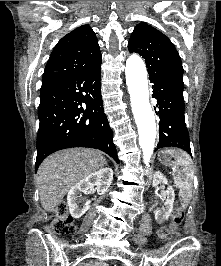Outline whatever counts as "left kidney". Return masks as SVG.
Here are the masks:
<instances>
[{"label":"left kidney","mask_w":221,"mask_h":266,"mask_svg":"<svg viewBox=\"0 0 221 266\" xmlns=\"http://www.w3.org/2000/svg\"><path fill=\"white\" fill-rule=\"evenodd\" d=\"M159 184L168 185L166 177L161 172H156L153 179V185L157 186ZM162 197L165 198L164 207L162 208L159 214L155 215L157 222L167 220L173 210V204L175 199L174 189L171 186H168L167 190L162 194Z\"/></svg>","instance_id":"obj_1"}]
</instances>
